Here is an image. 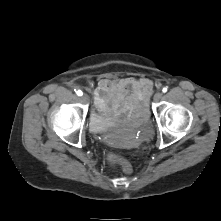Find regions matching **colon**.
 I'll use <instances>...</instances> for the list:
<instances>
[{
  "label": "colon",
  "mask_w": 221,
  "mask_h": 221,
  "mask_svg": "<svg viewBox=\"0 0 221 221\" xmlns=\"http://www.w3.org/2000/svg\"><path fill=\"white\" fill-rule=\"evenodd\" d=\"M108 160L111 163H119L121 165L124 173H126V174H131L132 171H133L132 166L130 165V163L128 161L118 157L115 154H109L108 155Z\"/></svg>",
  "instance_id": "obj_1"
}]
</instances>
